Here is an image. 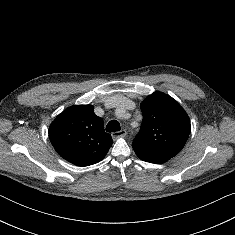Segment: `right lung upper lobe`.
Here are the masks:
<instances>
[{"instance_id":"right-lung-upper-lobe-1","label":"right lung upper lobe","mask_w":235,"mask_h":235,"mask_svg":"<svg viewBox=\"0 0 235 235\" xmlns=\"http://www.w3.org/2000/svg\"><path fill=\"white\" fill-rule=\"evenodd\" d=\"M49 138L56 152L77 166L100 162L113 143L92 105H75L59 114L49 127Z\"/></svg>"}]
</instances>
